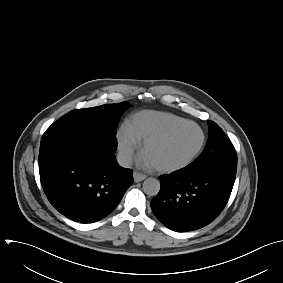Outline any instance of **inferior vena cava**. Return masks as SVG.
I'll list each match as a JSON object with an SVG mask.
<instances>
[{"label": "inferior vena cava", "mask_w": 283, "mask_h": 283, "mask_svg": "<svg viewBox=\"0 0 283 283\" xmlns=\"http://www.w3.org/2000/svg\"><path fill=\"white\" fill-rule=\"evenodd\" d=\"M117 161L120 166L130 168L132 165V155L128 152H119L117 155Z\"/></svg>", "instance_id": "602c4592"}]
</instances>
